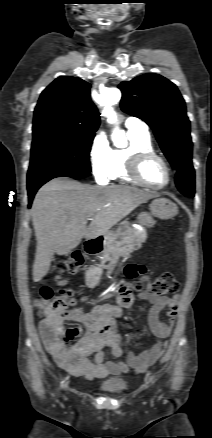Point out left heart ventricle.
Returning <instances> with one entry per match:
<instances>
[{
    "label": "left heart ventricle",
    "mask_w": 212,
    "mask_h": 438,
    "mask_svg": "<svg viewBox=\"0 0 212 438\" xmlns=\"http://www.w3.org/2000/svg\"><path fill=\"white\" fill-rule=\"evenodd\" d=\"M142 177L150 184L160 186L167 180V174L163 164L157 159L147 160L141 170Z\"/></svg>",
    "instance_id": "1"
}]
</instances>
